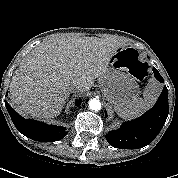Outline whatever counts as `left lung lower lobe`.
I'll return each instance as SVG.
<instances>
[{
    "mask_svg": "<svg viewBox=\"0 0 178 178\" xmlns=\"http://www.w3.org/2000/svg\"><path fill=\"white\" fill-rule=\"evenodd\" d=\"M157 80L163 78L153 68ZM169 113L168 91L164 87L154 107L138 119L124 123L120 129L109 132L106 139L115 148L138 149L150 144L162 129Z\"/></svg>",
    "mask_w": 178,
    "mask_h": 178,
    "instance_id": "left-lung-lower-lobe-1",
    "label": "left lung lower lobe"
}]
</instances>
